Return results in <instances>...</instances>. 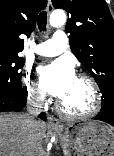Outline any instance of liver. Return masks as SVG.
<instances>
[{
  "label": "liver",
  "instance_id": "6515ba94",
  "mask_svg": "<svg viewBox=\"0 0 114 156\" xmlns=\"http://www.w3.org/2000/svg\"><path fill=\"white\" fill-rule=\"evenodd\" d=\"M47 125L26 114L0 113V156H27L40 146Z\"/></svg>",
  "mask_w": 114,
  "mask_h": 156
}]
</instances>
